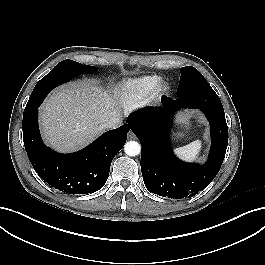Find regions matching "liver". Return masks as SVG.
Listing matches in <instances>:
<instances>
[{"instance_id":"6515ba94","label":"liver","mask_w":265,"mask_h":265,"mask_svg":"<svg viewBox=\"0 0 265 265\" xmlns=\"http://www.w3.org/2000/svg\"><path fill=\"white\" fill-rule=\"evenodd\" d=\"M115 95L88 82H72L53 91L40 107L45 142L60 152L80 149L120 116Z\"/></svg>"}]
</instances>
